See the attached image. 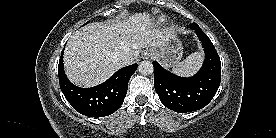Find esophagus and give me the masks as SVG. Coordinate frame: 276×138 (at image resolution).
<instances>
[{
	"instance_id": "34e87169",
	"label": "esophagus",
	"mask_w": 276,
	"mask_h": 138,
	"mask_svg": "<svg viewBox=\"0 0 276 138\" xmlns=\"http://www.w3.org/2000/svg\"><path fill=\"white\" fill-rule=\"evenodd\" d=\"M153 57H154V53H153L152 50H147L143 54V58L146 59V60L147 59H152Z\"/></svg>"
}]
</instances>
